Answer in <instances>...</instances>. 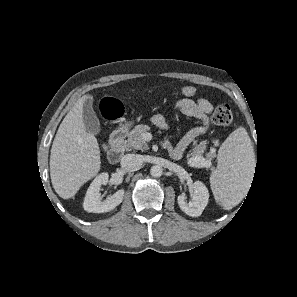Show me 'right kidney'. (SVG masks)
Listing matches in <instances>:
<instances>
[{
	"mask_svg": "<svg viewBox=\"0 0 297 297\" xmlns=\"http://www.w3.org/2000/svg\"><path fill=\"white\" fill-rule=\"evenodd\" d=\"M108 173L99 174L89 186L84 202V210L89 213H106L120 205L124 198V190L120 189L106 200H101L100 188L108 183Z\"/></svg>",
	"mask_w": 297,
	"mask_h": 297,
	"instance_id": "1",
	"label": "right kidney"
}]
</instances>
